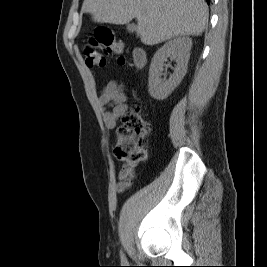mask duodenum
I'll list each match as a JSON object with an SVG mask.
<instances>
[{
  "mask_svg": "<svg viewBox=\"0 0 267 267\" xmlns=\"http://www.w3.org/2000/svg\"><path fill=\"white\" fill-rule=\"evenodd\" d=\"M133 61L136 66H143L146 62V54L142 49H136L133 53Z\"/></svg>",
  "mask_w": 267,
  "mask_h": 267,
  "instance_id": "duodenum-1",
  "label": "duodenum"
}]
</instances>
